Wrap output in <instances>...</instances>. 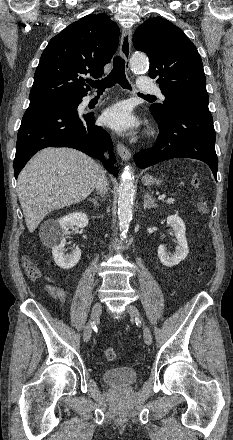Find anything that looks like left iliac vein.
<instances>
[{
  "mask_svg": "<svg viewBox=\"0 0 233 440\" xmlns=\"http://www.w3.org/2000/svg\"><path fill=\"white\" fill-rule=\"evenodd\" d=\"M126 311H127V313L131 317H133V318H135L137 320H140V321H142L144 323V321H143V319H142V317L140 315V312H139V310H138V308L136 306H134L133 304H129L126 307ZM144 341H145V343L147 345H150L151 342H152L151 332H150L149 328L145 324H144Z\"/></svg>",
  "mask_w": 233,
  "mask_h": 440,
  "instance_id": "4c4485c4",
  "label": "left iliac vein"
}]
</instances>
